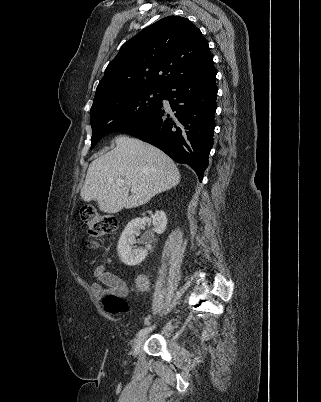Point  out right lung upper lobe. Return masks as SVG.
<instances>
[{"label":"right lung upper lobe","mask_w":321,"mask_h":402,"mask_svg":"<svg viewBox=\"0 0 321 402\" xmlns=\"http://www.w3.org/2000/svg\"><path fill=\"white\" fill-rule=\"evenodd\" d=\"M212 63L209 45L191 21L165 17L124 43L107 66L93 105L124 93L165 89L178 78Z\"/></svg>","instance_id":"right-lung-upper-lobe-1"}]
</instances>
